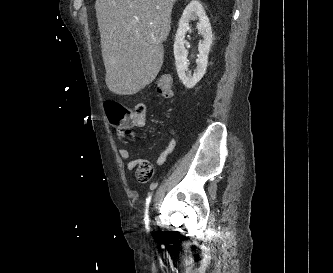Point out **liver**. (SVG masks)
I'll use <instances>...</instances> for the list:
<instances>
[{"label":"liver","mask_w":333,"mask_h":273,"mask_svg":"<svg viewBox=\"0 0 333 273\" xmlns=\"http://www.w3.org/2000/svg\"><path fill=\"white\" fill-rule=\"evenodd\" d=\"M176 0H96L108 89L132 95L158 75Z\"/></svg>","instance_id":"1"}]
</instances>
